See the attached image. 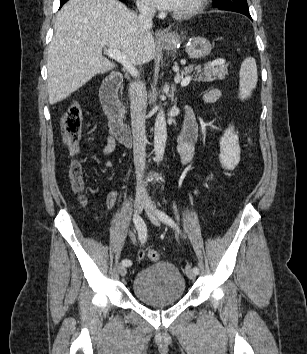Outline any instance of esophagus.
<instances>
[{"label": "esophagus", "mask_w": 307, "mask_h": 354, "mask_svg": "<svg viewBox=\"0 0 307 354\" xmlns=\"http://www.w3.org/2000/svg\"><path fill=\"white\" fill-rule=\"evenodd\" d=\"M155 37L158 40H164V39H166L167 34L163 30L159 29V30H156Z\"/></svg>", "instance_id": "esophagus-1"}]
</instances>
